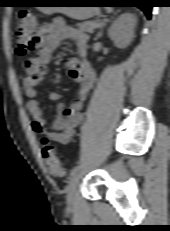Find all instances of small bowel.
Here are the masks:
<instances>
[{"instance_id":"small-bowel-1","label":"small bowel","mask_w":170,"mask_h":231,"mask_svg":"<svg viewBox=\"0 0 170 231\" xmlns=\"http://www.w3.org/2000/svg\"><path fill=\"white\" fill-rule=\"evenodd\" d=\"M63 40L73 41L79 54L78 58L66 62L69 76L79 84L78 97L70 104L60 105L54 123L51 128H48L40 108L37 87L45 82L47 64ZM86 48L87 36L83 32L56 19L42 27L38 37L37 53L27 60L24 66L23 87L28 98L27 110L32 118L31 128L35 133L47 136L61 144H67L70 141L76 127L82 121L81 110L95 83V74L86 59ZM49 97L54 101L60 99L56 92H52Z\"/></svg>"}]
</instances>
